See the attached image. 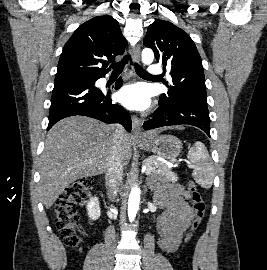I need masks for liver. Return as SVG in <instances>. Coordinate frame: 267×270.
<instances>
[{
  "label": "liver",
  "mask_w": 267,
  "mask_h": 270,
  "mask_svg": "<svg viewBox=\"0 0 267 270\" xmlns=\"http://www.w3.org/2000/svg\"><path fill=\"white\" fill-rule=\"evenodd\" d=\"M162 130L147 135H158ZM113 135L112 125L85 116L62 119L50 129L40 162L39 189L46 209L74 181L107 171ZM120 156L122 165H128L132 156L129 134L125 133L121 139Z\"/></svg>",
  "instance_id": "6515ba94"
}]
</instances>
